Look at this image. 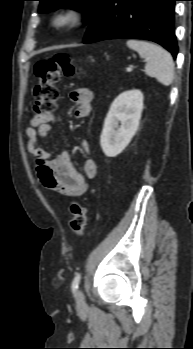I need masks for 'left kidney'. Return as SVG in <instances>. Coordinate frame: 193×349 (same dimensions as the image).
I'll use <instances>...</instances> for the list:
<instances>
[{"mask_svg":"<svg viewBox=\"0 0 193 349\" xmlns=\"http://www.w3.org/2000/svg\"><path fill=\"white\" fill-rule=\"evenodd\" d=\"M143 99L142 92L133 89L118 95L111 104L100 136V145L107 157L119 155L135 135L143 110Z\"/></svg>","mask_w":193,"mask_h":349,"instance_id":"left-kidney-1","label":"left kidney"}]
</instances>
